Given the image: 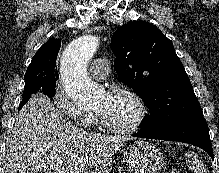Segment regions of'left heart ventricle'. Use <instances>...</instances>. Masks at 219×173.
<instances>
[{
	"mask_svg": "<svg viewBox=\"0 0 219 173\" xmlns=\"http://www.w3.org/2000/svg\"><path fill=\"white\" fill-rule=\"evenodd\" d=\"M96 111L116 127L131 125L138 114L137 105L126 94L103 93L96 104Z\"/></svg>",
	"mask_w": 219,
	"mask_h": 173,
	"instance_id": "1",
	"label": "left heart ventricle"
}]
</instances>
